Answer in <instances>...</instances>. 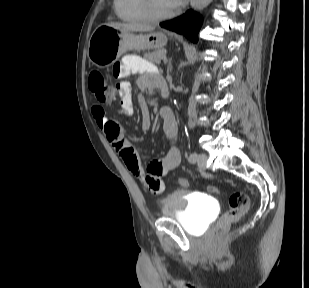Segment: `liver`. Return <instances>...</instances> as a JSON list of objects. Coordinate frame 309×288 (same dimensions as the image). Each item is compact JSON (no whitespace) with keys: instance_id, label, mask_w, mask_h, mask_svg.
<instances>
[{"instance_id":"6515ba94","label":"liver","mask_w":309,"mask_h":288,"mask_svg":"<svg viewBox=\"0 0 309 288\" xmlns=\"http://www.w3.org/2000/svg\"><path fill=\"white\" fill-rule=\"evenodd\" d=\"M107 25L130 32H147L154 29L153 27L142 24L108 23Z\"/></svg>"}]
</instances>
